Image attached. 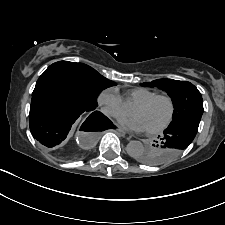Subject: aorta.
<instances>
[{
  "mask_svg": "<svg viewBox=\"0 0 225 225\" xmlns=\"http://www.w3.org/2000/svg\"><path fill=\"white\" fill-rule=\"evenodd\" d=\"M126 150L129 156L136 158L144 151V145L140 141L133 140L128 143Z\"/></svg>",
  "mask_w": 225,
  "mask_h": 225,
  "instance_id": "762f6f07",
  "label": "aorta"
}]
</instances>
